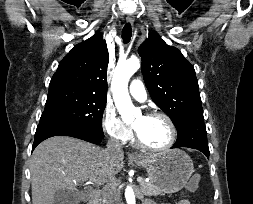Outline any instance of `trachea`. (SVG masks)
I'll return each instance as SVG.
<instances>
[{
	"mask_svg": "<svg viewBox=\"0 0 253 204\" xmlns=\"http://www.w3.org/2000/svg\"><path fill=\"white\" fill-rule=\"evenodd\" d=\"M132 35V28L130 23H127L122 30V39L125 44H127L130 41Z\"/></svg>",
	"mask_w": 253,
	"mask_h": 204,
	"instance_id": "1",
	"label": "trachea"
}]
</instances>
